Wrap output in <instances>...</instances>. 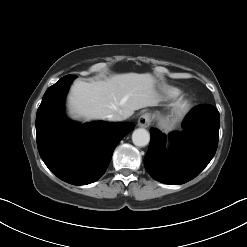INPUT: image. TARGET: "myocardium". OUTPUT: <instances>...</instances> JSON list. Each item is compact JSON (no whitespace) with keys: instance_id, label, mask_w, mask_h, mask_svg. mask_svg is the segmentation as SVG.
Masks as SVG:
<instances>
[{"instance_id":"obj_1","label":"myocardium","mask_w":247,"mask_h":247,"mask_svg":"<svg viewBox=\"0 0 247 247\" xmlns=\"http://www.w3.org/2000/svg\"><path fill=\"white\" fill-rule=\"evenodd\" d=\"M191 103L187 99H182L176 102L172 108L171 111V118L172 119H178L181 116H183L189 109H190Z\"/></svg>"}]
</instances>
